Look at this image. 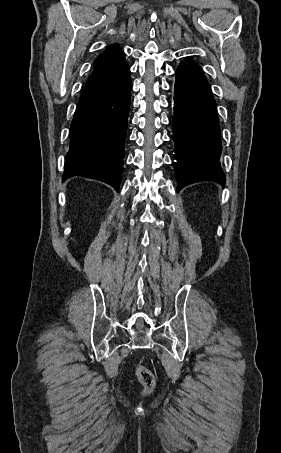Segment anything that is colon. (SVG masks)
<instances>
[{
    "mask_svg": "<svg viewBox=\"0 0 281 453\" xmlns=\"http://www.w3.org/2000/svg\"><path fill=\"white\" fill-rule=\"evenodd\" d=\"M133 373L138 378L143 380H150L152 377V373L148 367L143 364H136L133 366Z\"/></svg>",
    "mask_w": 281,
    "mask_h": 453,
    "instance_id": "obj_1",
    "label": "colon"
}]
</instances>
